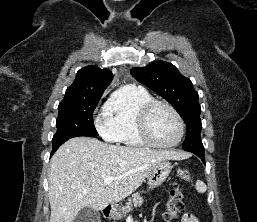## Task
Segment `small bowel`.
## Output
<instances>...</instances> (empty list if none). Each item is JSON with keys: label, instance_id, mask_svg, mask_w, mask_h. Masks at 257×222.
Wrapping results in <instances>:
<instances>
[{"label": "small bowel", "instance_id": "c3829d8e", "mask_svg": "<svg viewBox=\"0 0 257 222\" xmlns=\"http://www.w3.org/2000/svg\"><path fill=\"white\" fill-rule=\"evenodd\" d=\"M181 222H199L197 218L191 213H185L182 216Z\"/></svg>", "mask_w": 257, "mask_h": 222}]
</instances>
